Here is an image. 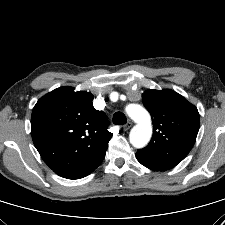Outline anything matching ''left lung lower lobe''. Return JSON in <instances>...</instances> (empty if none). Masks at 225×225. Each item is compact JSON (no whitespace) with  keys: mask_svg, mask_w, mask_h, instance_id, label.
Listing matches in <instances>:
<instances>
[{"mask_svg":"<svg viewBox=\"0 0 225 225\" xmlns=\"http://www.w3.org/2000/svg\"><path fill=\"white\" fill-rule=\"evenodd\" d=\"M136 157H137V160H138L142 165H144L145 167H147V168H149V169H151V170H154V171H165V170H162V169H160V168H158V167H155V166H153V165H151V164H149V163L143 161V160L140 159L138 156H136Z\"/></svg>","mask_w":225,"mask_h":225,"instance_id":"obj_1","label":"left lung lower lobe"}]
</instances>
